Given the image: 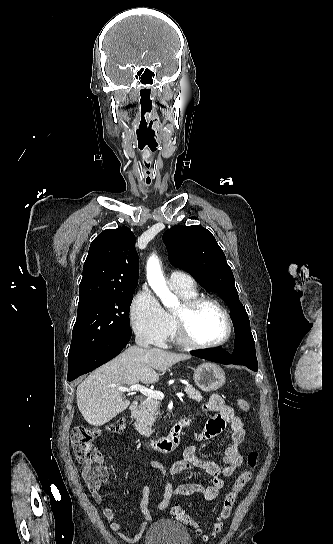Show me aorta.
<instances>
[{
    "label": "aorta",
    "mask_w": 333,
    "mask_h": 544,
    "mask_svg": "<svg viewBox=\"0 0 333 544\" xmlns=\"http://www.w3.org/2000/svg\"><path fill=\"white\" fill-rule=\"evenodd\" d=\"M147 280L150 287L160 298L164 306L171 308L178 304L177 297L171 293L166 285L159 260L154 255L150 257L147 263Z\"/></svg>",
    "instance_id": "762f6f07"
}]
</instances>
